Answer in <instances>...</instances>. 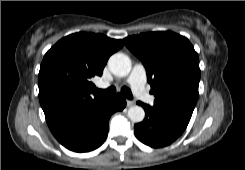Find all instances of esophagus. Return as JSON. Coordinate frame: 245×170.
Instances as JSON below:
<instances>
[{
	"label": "esophagus",
	"instance_id": "obj_1",
	"mask_svg": "<svg viewBox=\"0 0 245 170\" xmlns=\"http://www.w3.org/2000/svg\"><path fill=\"white\" fill-rule=\"evenodd\" d=\"M134 104H135L134 101H132V100H127V106H128V107H131V106H133Z\"/></svg>",
	"mask_w": 245,
	"mask_h": 170
}]
</instances>
